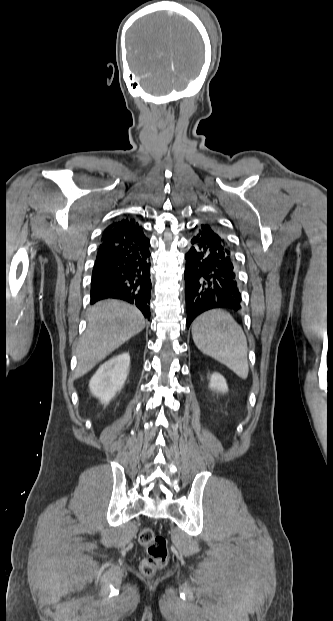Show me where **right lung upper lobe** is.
I'll return each mask as SVG.
<instances>
[{
  "instance_id": "cb5924a9",
  "label": "right lung upper lobe",
  "mask_w": 333,
  "mask_h": 621,
  "mask_svg": "<svg viewBox=\"0 0 333 621\" xmlns=\"http://www.w3.org/2000/svg\"><path fill=\"white\" fill-rule=\"evenodd\" d=\"M107 242L136 248L149 245V240L143 234V228L134 219L128 217L113 222L104 230L101 243Z\"/></svg>"
}]
</instances>
